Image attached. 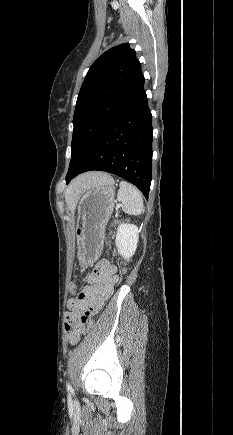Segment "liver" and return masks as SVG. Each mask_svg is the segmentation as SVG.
Returning <instances> with one entry per match:
<instances>
[{
  "mask_svg": "<svg viewBox=\"0 0 233 435\" xmlns=\"http://www.w3.org/2000/svg\"><path fill=\"white\" fill-rule=\"evenodd\" d=\"M108 175L103 172H89L75 178L65 192V201L68 208L73 211L81 194L97 185H100Z\"/></svg>",
  "mask_w": 233,
  "mask_h": 435,
  "instance_id": "obj_1",
  "label": "liver"
}]
</instances>
